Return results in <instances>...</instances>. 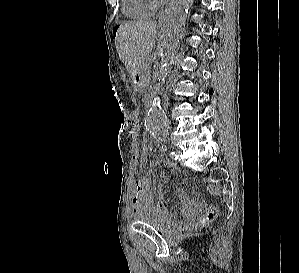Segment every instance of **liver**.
I'll return each instance as SVG.
<instances>
[{
	"label": "liver",
	"mask_w": 299,
	"mask_h": 273,
	"mask_svg": "<svg viewBox=\"0 0 299 273\" xmlns=\"http://www.w3.org/2000/svg\"><path fill=\"white\" fill-rule=\"evenodd\" d=\"M156 28L155 21H131L118 28L116 49L131 78L136 77L140 64L155 48Z\"/></svg>",
	"instance_id": "obj_1"
}]
</instances>
